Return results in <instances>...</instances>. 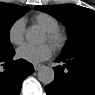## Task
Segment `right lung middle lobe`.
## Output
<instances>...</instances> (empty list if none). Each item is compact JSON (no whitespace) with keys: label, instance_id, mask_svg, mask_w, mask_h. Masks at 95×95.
I'll return each instance as SVG.
<instances>
[{"label":"right lung middle lobe","instance_id":"1","mask_svg":"<svg viewBox=\"0 0 95 95\" xmlns=\"http://www.w3.org/2000/svg\"><path fill=\"white\" fill-rule=\"evenodd\" d=\"M29 11V7L16 4H0V57L6 56L14 51L9 42V31L12 24Z\"/></svg>","mask_w":95,"mask_h":95}]
</instances>
